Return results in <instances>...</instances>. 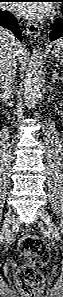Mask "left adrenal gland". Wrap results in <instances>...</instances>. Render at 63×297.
I'll list each match as a JSON object with an SVG mask.
<instances>
[{"label":"left adrenal gland","mask_w":63,"mask_h":297,"mask_svg":"<svg viewBox=\"0 0 63 297\" xmlns=\"http://www.w3.org/2000/svg\"><path fill=\"white\" fill-rule=\"evenodd\" d=\"M57 79H62L56 69H52V81L55 82Z\"/></svg>","instance_id":"1"}]
</instances>
